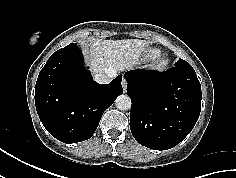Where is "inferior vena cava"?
Segmentation results:
<instances>
[{
	"instance_id": "inferior-vena-cava-1",
	"label": "inferior vena cava",
	"mask_w": 236,
	"mask_h": 178,
	"mask_svg": "<svg viewBox=\"0 0 236 178\" xmlns=\"http://www.w3.org/2000/svg\"><path fill=\"white\" fill-rule=\"evenodd\" d=\"M116 76L115 70H108L106 73H97L94 75V80L99 84H108Z\"/></svg>"
}]
</instances>
